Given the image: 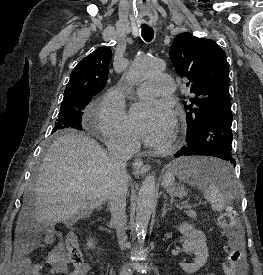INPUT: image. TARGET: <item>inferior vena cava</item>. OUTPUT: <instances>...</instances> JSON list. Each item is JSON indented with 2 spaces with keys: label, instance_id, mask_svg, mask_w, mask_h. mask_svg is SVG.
I'll list each match as a JSON object with an SVG mask.
<instances>
[{
  "label": "inferior vena cava",
  "instance_id": "1",
  "mask_svg": "<svg viewBox=\"0 0 263 275\" xmlns=\"http://www.w3.org/2000/svg\"><path fill=\"white\" fill-rule=\"evenodd\" d=\"M110 152L111 186L109 190V207L111 223L116 229L118 244L121 249L126 245V194L128 190V174L126 162L136 151L134 142L128 137L118 138L108 147ZM120 275H129L123 269Z\"/></svg>",
  "mask_w": 263,
  "mask_h": 275
}]
</instances>
